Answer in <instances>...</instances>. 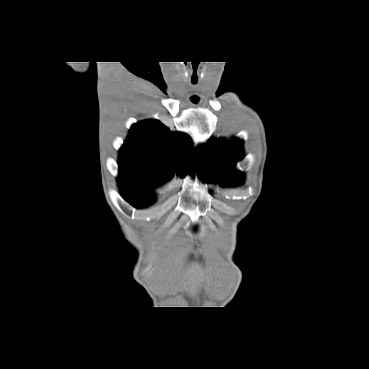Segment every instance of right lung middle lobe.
<instances>
[{
    "mask_svg": "<svg viewBox=\"0 0 369 369\" xmlns=\"http://www.w3.org/2000/svg\"><path fill=\"white\" fill-rule=\"evenodd\" d=\"M119 186H120L123 198L135 207L148 206L151 203H153L155 200L154 197L134 193L130 189H128L127 187H125L124 185L120 183H119Z\"/></svg>",
    "mask_w": 369,
    "mask_h": 369,
    "instance_id": "obj_1",
    "label": "right lung middle lobe"
}]
</instances>
